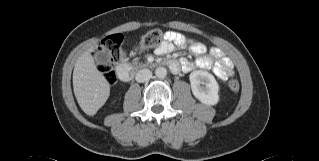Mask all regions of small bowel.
I'll list each match as a JSON object with an SVG mask.
<instances>
[{
    "label": "small bowel",
    "mask_w": 319,
    "mask_h": 161,
    "mask_svg": "<svg viewBox=\"0 0 319 161\" xmlns=\"http://www.w3.org/2000/svg\"><path fill=\"white\" fill-rule=\"evenodd\" d=\"M174 43L181 47H186L189 41L178 32H167L164 35L163 42L157 47L156 53L159 55L170 53ZM189 50L196 59L194 61L186 58L181 60L180 67L184 72H190L196 68L211 69L222 81H226L235 75L233 62L219 48H211L208 55H206L207 47L203 43L191 42Z\"/></svg>",
    "instance_id": "1"
}]
</instances>
